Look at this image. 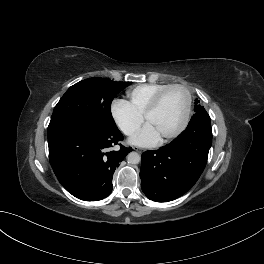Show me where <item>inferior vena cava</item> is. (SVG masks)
<instances>
[{
  "mask_svg": "<svg viewBox=\"0 0 264 264\" xmlns=\"http://www.w3.org/2000/svg\"><path fill=\"white\" fill-rule=\"evenodd\" d=\"M133 132V130L132 129H128L127 131H126V134H131Z\"/></svg>",
  "mask_w": 264,
  "mask_h": 264,
  "instance_id": "602c4592",
  "label": "inferior vena cava"
}]
</instances>
